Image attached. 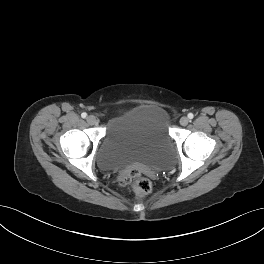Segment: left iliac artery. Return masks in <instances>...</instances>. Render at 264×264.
Returning <instances> with one entry per match:
<instances>
[{
	"label": "left iliac artery",
	"instance_id": "left-iliac-artery-1",
	"mask_svg": "<svg viewBox=\"0 0 264 264\" xmlns=\"http://www.w3.org/2000/svg\"><path fill=\"white\" fill-rule=\"evenodd\" d=\"M193 117H194V115H193L192 113H189V114H188V118H189V119H193Z\"/></svg>",
	"mask_w": 264,
	"mask_h": 264
}]
</instances>
